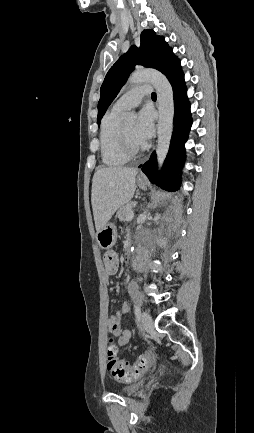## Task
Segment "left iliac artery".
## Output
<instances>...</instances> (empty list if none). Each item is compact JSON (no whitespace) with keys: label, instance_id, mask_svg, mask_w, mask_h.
Returning a JSON list of instances; mask_svg holds the SVG:
<instances>
[{"label":"left iliac artery","instance_id":"obj_1","mask_svg":"<svg viewBox=\"0 0 254 433\" xmlns=\"http://www.w3.org/2000/svg\"><path fill=\"white\" fill-rule=\"evenodd\" d=\"M134 313H135L136 320L139 322L141 319V309L139 304L137 303H135L134 305Z\"/></svg>","mask_w":254,"mask_h":433}]
</instances>
